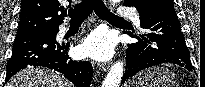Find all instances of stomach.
I'll return each instance as SVG.
<instances>
[{
  "label": "stomach",
  "instance_id": "0dacf381",
  "mask_svg": "<svg viewBox=\"0 0 205 87\" xmlns=\"http://www.w3.org/2000/svg\"><path fill=\"white\" fill-rule=\"evenodd\" d=\"M175 75L165 67L156 66L136 74L126 87H176Z\"/></svg>",
  "mask_w": 205,
  "mask_h": 87
}]
</instances>
